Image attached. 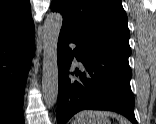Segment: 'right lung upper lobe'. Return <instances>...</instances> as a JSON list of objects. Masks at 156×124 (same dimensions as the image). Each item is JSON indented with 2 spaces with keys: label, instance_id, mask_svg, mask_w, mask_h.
Wrapping results in <instances>:
<instances>
[{
  "label": "right lung upper lobe",
  "instance_id": "obj_1",
  "mask_svg": "<svg viewBox=\"0 0 156 124\" xmlns=\"http://www.w3.org/2000/svg\"><path fill=\"white\" fill-rule=\"evenodd\" d=\"M33 28L29 0H0V36Z\"/></svg>",
  "mask_w": 156,
  "mask_h": 124
}]
</instances>
